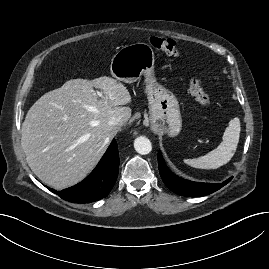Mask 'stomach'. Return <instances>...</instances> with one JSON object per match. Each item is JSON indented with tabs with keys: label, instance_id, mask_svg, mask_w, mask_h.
I'll list each match as a JSON object with an SVG mask.
<instances>
[{
	"label": "stomach",
	"instance_id": "obj_1",
	"mask_svg": "<svg viewBox=\"0 0 269 269\" xmlns=\"http://www.w3.org/2000/svg\"><path fill=\"white\" fill-rule=\"evenodd\" d=\"M154 64L152 47L139 42L117 51L111 60L110 71L114 78L125 83H133L142 76L145 77L151 125L168 136L175 137L182 127L178 100L171 91L156 82Z\"/></svg>",
	"mask_w": 269,
	"mask_h": 269
}]
</instances>
